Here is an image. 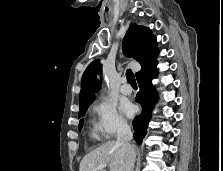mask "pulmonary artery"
<instances>
[{
  "label": "pulmonary artery",
  "instance_id": "obj_1",
  "mask_svg": "<svg viewBox=\"0 0 223 171\" xmlns=\"http://www.w3.org/2000/svg\"><path fill=\"white\" fill-rule=\"evenodd\" d=\"M120 91L124 95H130L132 93V88L131 86L127 83L126 79H122V85L120 87Z\"/></svg>",
  "mask_w": 223,
  "mask_h": 171
}]
</instances>
